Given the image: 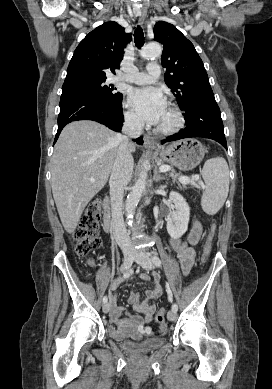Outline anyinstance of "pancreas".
I'll use <instances>...</instances> for the list:
<instances>
[{"instance_id":"pancreas-1","label":"pancreas","mask_w":272,"mask_h":389,"mask_svg":"<svg viewBox=\"0 0 272 389\" xmlns=\"http://www.w3.org/2000/svg\"><path fill=\"white\" fill-rule=\"evenodd\" d=\"M170 169H171V167H170ZM168 175H169V177H171V178L173 179L174 182L176 181V182L178 183V185H179V187H180L181 189H186V188H187L186 185L189 184V183H186V184L181 183V182L179 181V176H180V175H179L178 173H176L174 170H172L171 172H169ZM190 184L197 186V184L194 183V179H193V178L191 179Z\"/></svg>"}]
</instances>
